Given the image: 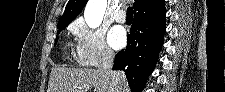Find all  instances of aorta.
I'll return each mask as SVG.
<instances>
[{
  "label": "aorta",
  "mask_w": 225,
  "mask_h": 92,
  "mask_svg": "<svg viewBox=\"0 0 225 92\" xmlns=\"http://www.w3.org/2000/svg\"><path fill=\"white\" fill-rule=\"evenodd\" d=\"M107 6V0H89L85 10L84 18L90 28L100 26Z\"/></svg>",
  "instance_id": "1"
}]
</instances>
